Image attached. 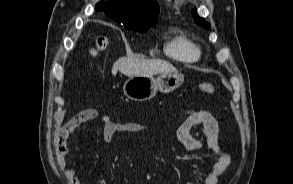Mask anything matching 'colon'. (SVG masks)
I'll return each instance as SVG.
<instances>
[{
    "label": "colon",
    "mask_w": 293,
    "mask_h": 184,
    "mask_svg": "<svg viewBox=\"0 0 293 184\" xmlns=\"http://www.w3.org/2000/svg\"><path fill=\"white\" fill-rule=\"evenodd\" d=\"M109 47V39L106 36H97L90 49H89V55L91 57V59H95L100 53L104 52L105 50H107ZM198 89L202 92V93H206V94H214L215 93V88L212 84L210 83H200L198 85ZM59 150L61 152L66 151V144L59 142Z\"/></svg>",
    "instance_id": "obj_1"
}]
</instances>
